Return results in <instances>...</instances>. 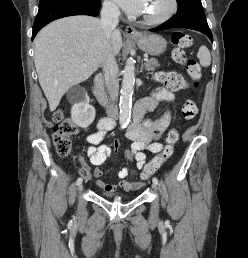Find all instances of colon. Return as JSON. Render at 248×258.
Wrapping results in <instances>:
<instances>
[{
    "instance_id": "colon-1",
    "label": "colon",
    "mask_w": 248,
    "mask_h": 258,
    "mask_svg": "<svg viewBox=\"0 0 248 258\" xmlns=\"http://www.w3.org/2000/svg\"><path fill=\"white\" fill-rule=\"evenodd\" d=\"M171 43L174 45L172 51V57L178 64L186 67L187 73L194 81V85L197 87L202 77V71L200 64L191 58H187L183 48L192 44V38L189 34L182 31H174L171 34ZM158 78L165 82L168 88L172 91H177L183 88V81L181 78L171 73H160ZM198 113V107L194 100L187 99L182 105V115L186 120H191L196 117ZM55 122V128L52 134V140L58 155L62 157L70 156L73 152V143L71 137L77 133V125L69 118H65L61 110H58L53 115ZM179 138V132L177 129H171L166 136L167 145L155 159L148 163L140 174L142 180H148L159 168V166L171 157L173 154V145ZM112 145L117 152L119 147L123 145L122 141H113ZM130 147V146H129ZM124 164L132 165L134 154L129 148L123 152ZM130 167V166H129ZM80 174L83 178L89 177V172L86 167L80 169Z\"/></svg>"
}]
</instances>
